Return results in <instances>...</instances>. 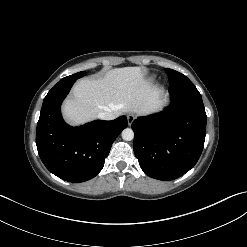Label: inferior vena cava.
<instances>
[{"mask_svg": "<svg viewBox=\"0 0 247 247\" xmlns=\"http://www.w3.org/2000/svg\"><path fill=\"white\" fill-rule=\"evenodd\" d=\"M97 117L101 120H113L116 118V115L112 112H101Z\"/></svg>", "mask_w": 247, "mask_h": 247, "instance_id": "obj_1", "label": "inferior vena cava"}]
</instances>
